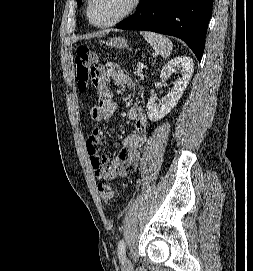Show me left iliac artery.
Listing matches in <instances>:
<instances>
[{"mask_svg": "<svg viewBox=\"0 0 253 271\" xmlns=\"http://www.w3.org/2000/svg\"><path fill=\"white\" fill-rule=\"evenodd\" d=\"M117 251H118L119 259L123 263L125 260V242H124V240L119 241Z\"/></svg>", "mask_w": 253, "mask_h": 271, "instance_id": "1", "label": "left iliac artery"}]
</instances>
